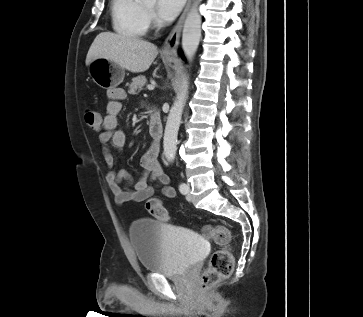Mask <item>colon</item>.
Returning a JSON list of instances; mask_svg holds the SVG:
<instances>
[{
    "instance_id": "1",
    "label": "colon",
    "mask_w": 363,
    "mask_h": 317,
    "mask_svg": "<svg viewBox=\"0 0 363 317\" xmlns=\"http://www.w3.org/2000/svg\"><path fill=\"white\" fill-rule=\"evenodd\" d=\"M84 119L87 126L95 132L102 128L101 115L92 109H86ZM147 211L156 219L162 222L170 220L169 214L162 202L157 198H151L146 203ZM203 233L215 242L220 248L216 249L209 260L208 267L202 272L200 277V289L202 291L209 290L219 281L228 278L233 270L234 258L228 246L231 242L230 230L221 225L206 226Z\"/></svg>"
}]
</instances>
